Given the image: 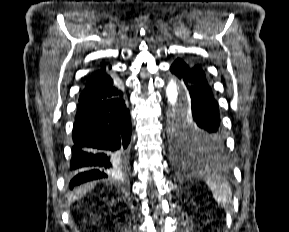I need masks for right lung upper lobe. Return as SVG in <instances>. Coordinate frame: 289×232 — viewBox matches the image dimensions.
<instances>
[{
    "mask_svg": "<svg viewBox=\"0 0 289 232\" xmlns=\"http://www.w3.org/2000/svg\"><path fill=\"white\" fill-rule=\"evenodd\" d=\"M121 92L122 90L117 81L106 74L103 65L101 69L87 79L86 87L80 95L79 103H90L112 98Z\"/></svg>",
    "mask_w": 289,
    "mask_h": 232,
    "instance_id": "right-lung-upper-lobe-1",
    "label": "right lung upper lobe"
}]
</instances>
